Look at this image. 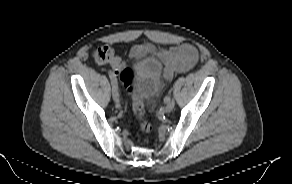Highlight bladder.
I'll return each mask as SVG.
<instances>
[{"instance_id": "1", "label": "bladder", "mask_w": 292, "mask_h": 184, "mask_svg": "<svg viewBox=\"0 0 292 184\" xmlns=\"http://www.w3.org/2000/svg\"><path fill=\"white\" fill-rule=\"evenodd\" d=\"M161 66L157 60L142 59L132 68L131 91L141 100L154 99L160 90Z\"/></svg>"}]
</instances>
